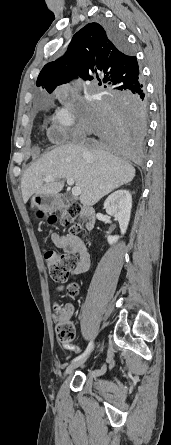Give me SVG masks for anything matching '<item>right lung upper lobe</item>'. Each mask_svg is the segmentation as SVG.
<instances>
[{"mask_svg": "<svg viewBox=\"0 0 171 445\" xmlns=\"http://www.w3.org/2000/svg\"><path fill=\"white\" fill-rule=\"evenodd\" d=\"M77 75L85 80L100 81L99 76L103 77L111 92L127 91L142 81L136 57L129 48H118L99 23H89L79 30L65 55L43 67L36 85L51 93Z\"/></svg>", "mask_w": 171, "mask_h": 445, "instance_id": "obj_1", "label": "right lung upper lobe"}]
</instances>
